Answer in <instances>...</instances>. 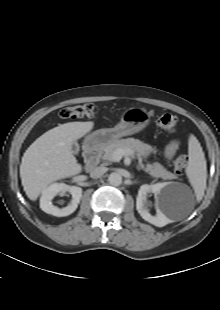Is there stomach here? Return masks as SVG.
I'll use <instances>...</instances> for the list:
<instances>
[{"label":"stomach","instance_id":"0dacf381","mask_svg":"<svg viewBox=\"0 0 220 310\" xmlns=\"http://www.w3.org/2000/svg\"><path fill=\"white\" fill-rule=\"evenodd\" d=\"M150 121L149 113L142 108H130L121 116L120 122L113 128L97 130L86 137L90 146H106L117 139L133 135L143 130Z\"/></svg>","mask_w":220,"mask_h":310}]
</instances>
